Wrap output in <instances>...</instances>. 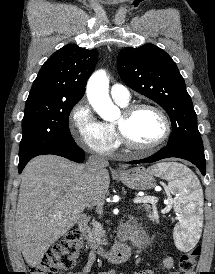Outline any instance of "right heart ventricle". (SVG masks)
<instances>
[{
    "mask_svg": "<svg viewBox=\"0 0 215 274\" xmlns=\"http://www.w3.org/2000/svg\"><path fill=\"white\" fill-rule=\"evenodd\" d=\"M120 106L122 107H125L128 105V103L126 104H122V103H119L117 102ZM104 124V127L105 129L114 136V138L116 139V145H117V134H116V131H115V128H114V124L112 123H103Z\"/></svg>",
    "mask_w": 215,
    "mask_h": 274,
    "instance_id": "obj_1",
    "label": "right heart ventricle"
}]
</instances>
